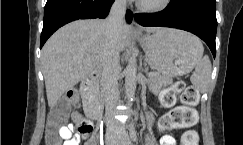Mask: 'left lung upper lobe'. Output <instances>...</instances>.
Segmentation results:
<instances>
[{
    "label": "left lung upper lobe",
    "mask_w": 243,
    "mask_h": 145,
    "mask_svg": "<svg viewBox=\"0 0 243 145\" xmlns=\"http://www.w3.org/2000/svg\"><path fill=\"white\" fill-rule=\"evenodd\" d=\"M184 6H189L194 10L215 11V0H170Z\"/></svg>",
    "instance_id": "5c2ea615"
}]
</instances>
